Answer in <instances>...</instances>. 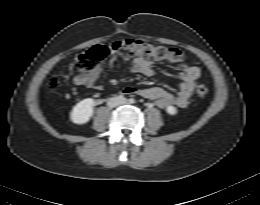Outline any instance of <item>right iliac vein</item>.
Segmentation results:
<instances>
[{
    "label": "right iliac vein",
    "instance_id": "right-iliac-vein-1",
    "mask_svg": "<svg viewBox=\"0 0 260 205\" xmlns=\"http://www.w3.org/2000/svg\"><path fill=\"white\" fill-rule=\"evenodd\" d=\"M118 102H119V100L117 98L113 97L109 100V105L116 106L118 104Z\"/></svg>",
    "mask_w": 260,
    "mask_h": 205
}]
</instances>
